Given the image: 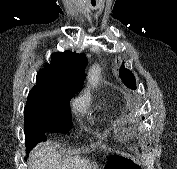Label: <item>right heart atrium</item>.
<instances>
[{
    "instance_id": "1",
    "label": "right heart atrium",
    "mask_w": 177,
    "mask_h": 169,
    "mask_svg": "<svg viewBox=\"0 0 177 169\" xmlns=\"http://www.w3.org/2000/svg\"><path fill=\"white\" fill-rule=\"evenodd\" d=\"M72 106L76 114H84L88 108V99L85 96H79L73 100Z\"/></svg>"
}]
</instances>
